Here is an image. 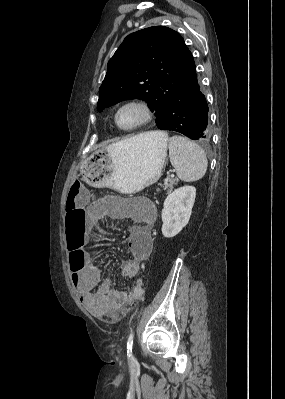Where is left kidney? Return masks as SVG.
<instances>
[{
	"mask_svg": "<svg viewBox=\"0 0 285 399\" xmlns=\"http://www.w3.org/2000/svg\"><path fill=\"white\" fill-rule=\"evenodd\" d=\"M195 197L196 189L193 186L180 187L167 196L161 215L164 237L176 236L188 224Z\"/></svg>",
	"mask_w": 285,
	"mask_h": 399,
	"instance_id": "5707ae66",
	"label": "left kidney"
}]
</instances>
